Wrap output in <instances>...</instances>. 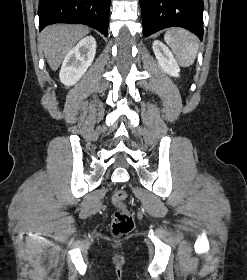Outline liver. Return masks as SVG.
<instances>
[{
  "mask_svg": "<svg viewBox=\"0 0 247 280\" xmlns=\"http://www.w3.org/2000/svg\"><path fill=\"white\" fill-rule=\"evenodd\" d=\"M89 32L82 25L55 24L47 26L40 34V46L50 68H59L71 48Z\"/></svg>",
  "mask_w": 247,
  "mask_h": 280,
  "instance_id": "obj_1",
  "label": "liver"
}]
</instances>
